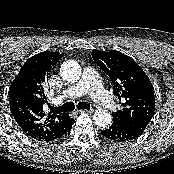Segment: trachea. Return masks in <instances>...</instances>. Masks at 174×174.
Listing matches in <instances>:
<instances>
[{"label": "trachea", "mask_w": 174, "mask_h": 174, "mask_svg": "<svg viewBox=\"0 0 174 174\" xmlns=\"http://www.w3.org/2000/svg\"><path fill=\"white\" fill-rule=\"evenodd\" d=\"M77 108L89 110L90 105L86 102H79L77 104ZM50 109L52 112H55V113L70 112L75 109V104L73 102H67L60 107H50Z\"/></svg>", "instance_id": "trachea-1"}]
</instances>
